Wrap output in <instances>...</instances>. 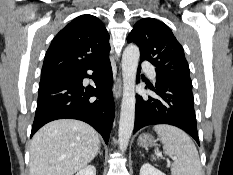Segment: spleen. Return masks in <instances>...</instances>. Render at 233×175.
Listing matches in <instances>:
<instances>
[{
  "label": "spleen",
  "mask_w": 233,
  "mask_h": 175,
  "mask_svg": "<svg viewBox=\"0 0 233 175\" xmlns=\"http://www.w3.org/2000/svg\"><path fill=\"white\" fill-rule=\"evenodd\" d=\"M153 129L163 144L165 155L175 158L171 175H202L198 151L188 134L167 124L155 125ZM153 159L156 158L153 156Z\"/></svg>",
  "instance_id": "1"
}]
</instances>
